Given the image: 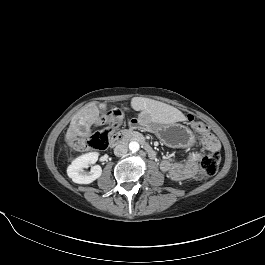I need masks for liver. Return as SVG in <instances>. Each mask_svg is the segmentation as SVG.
Masks as SVG:
<instances>
[{
	"instance_id": "liver-1",
	"label": "liver",
	"mask_w": 265,
	"mask_h": 265,
	"mask_svg": "<svg viewBox=\"0 0 265 265\" xmlns=\"http://www.w3.org/2000/svg\"><path fill=\"white\" fill-rule=\"evenodd\" d=\"M131 107L141 111L139 119H144L158 124H174L186 121L185 115L175 107L144 97H133ZM100 111L95 102L83 106L73 117L66 136L85 137L91 133V126L99 122Z\"/></svg>"
}]
</instances>
